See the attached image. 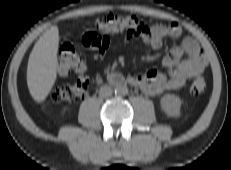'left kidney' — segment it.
Segmentation results:
<instances>
[{"mask_svg":"<svg viewBox=\"0 0 231 170\" xmlns=\"http://www.w3.org/2000/svg\"><path fill=\"white\" fill-rule=\"evenodd\" d=\"M161 107L163 111L170 117H177L180 115L181 100L175 95H165L161 98Z\"/></svg>","mask_w":231,"mask_h":170,"instance_id":"1","label":"left kidney"}]
</instances>
